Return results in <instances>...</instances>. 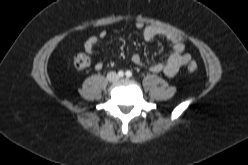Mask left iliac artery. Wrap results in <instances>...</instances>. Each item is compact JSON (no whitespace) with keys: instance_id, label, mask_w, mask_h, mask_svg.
<instances>
[{"instance_id":"left-iliac-artery-1","label":"left iliac artery","mask_w":248,"mask_h":165,"mask_svg":"<svg viewBox=\"0 0 248 165\" xmlns=\"http://www.w3.org/2000/svg\"><path fill=\"white\" fill-rule=\"evenodd\" d=\"M126 76L129 78L132 76V72L131 71H126Z\"/></svg>"}]
</instances>
